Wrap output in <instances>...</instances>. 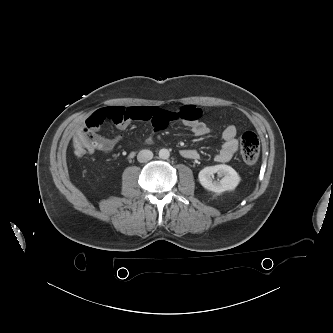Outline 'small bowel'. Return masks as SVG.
<instances>
[{
  "label": "small bowel",
  "instance_id": "small-bowel-1",
  "mask_svg": "<svg viewBox=\"0 0 333 333\" xmlns=\"http://www.w3.org/2000/svg\"><path fill=\"white\" fill-rule=\"evenodd\" d=\"M200 118V109L193 105L183 106L176 111L160 107L111 106L100 109L89 116L78 129L76 137L84 142L86 152L89 154L95 151L110 153L121 140V135L107 138L98 134L106 120L112 121L119 130H125L133 120L150 121L155 132L166 129L175 121H181L195 136L201 137L207 135L209 129ZM222 139L223 144L215 159L217 162L225 163L230 161L239 150L237 128L233 125L226 127ZM152 141L153 136H150L147 142L151 143ZM181 155L187 159H195L197 151L186 148L181 151Z\"/></svg>",
  "mask_w": 333,
  "mask_h": 333
}]
</instances>
